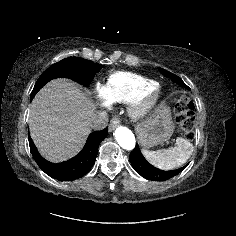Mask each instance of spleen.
I'll return each instance as SVG.
<instances>
[{
    "mask_svg": "<svg viewBox=\"0 0 236 236\" xmlns=\"http://www.w3.org/2000/svg\"><path fill=\"white\" fill-rule=\"evenodd\" d=\"M193 151V144L189 140L178 137L175 147L157 151L143 150L142 153L155 167L162 170H172L186 163Z\"/></svg>",
    "mask_w": 236,
    "mask_h": 236,
    "instance_id": "spleen-1",
    "label": "spleen"
}]
</instances>
